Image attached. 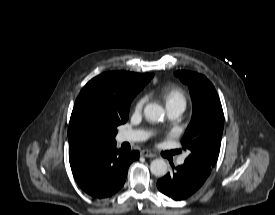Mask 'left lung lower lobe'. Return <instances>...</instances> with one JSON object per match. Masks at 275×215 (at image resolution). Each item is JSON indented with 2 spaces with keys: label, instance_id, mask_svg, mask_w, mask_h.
<instances>
[{
  "label": "left lung lower lobe",
  "instance_id": "0a47b994",
  "mask_svg": "<svg viewBox=\"0 0 275 215\" xmlns=\"http://www.w3.org/2000/svg\"><path fill=\"white\" fill-rule=\"evenodd\" d=\"M209 174L186 163L173 168L157 181L160 192L174 200H184L193 195L206 181Z\"/></svg>",
  "mask_w": 275,
  "mask_h": 215
}]
</instances>
